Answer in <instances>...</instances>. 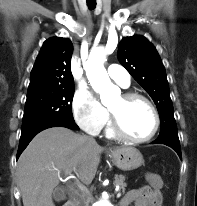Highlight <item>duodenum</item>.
Returning <instances> with one entry per match:
<instances>
[{
    "instance_id": "duodenum-1",
    "label": "duodenum",
    "mask_w": 197,
    "mask_h": 206,
    "mask_svg": "<svg viewBox=\"0 0 197 206\" xmlns=\"http://www.w3.org/2000/svg\"><path fill=\"white\" fill-rule=\"evenodd\" d=\"M62 206H75L73 201H66Z\"/></svg>"
}]
</instances>
